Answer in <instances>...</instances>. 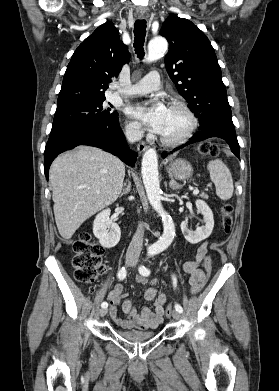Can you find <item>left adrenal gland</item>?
Listing matches in <instances>:
<instances>
[{"label":"left adrenal gland","mask_w":279,"mask_h":391,"mask_svg":"<svg viewBox=\"0 0 279 391\" xmlns=\"http://www.w3.org/2000/svg\"><path fill=\"white\" fill-rule=\"evenodd\" d=\"M169 187L175 190V189H179L180 185L172 177H170Z\"/></svg>","instance_id":"left-adrenal-gland-1"}]
</instances>
